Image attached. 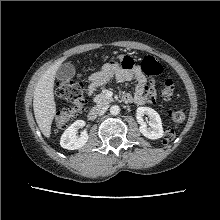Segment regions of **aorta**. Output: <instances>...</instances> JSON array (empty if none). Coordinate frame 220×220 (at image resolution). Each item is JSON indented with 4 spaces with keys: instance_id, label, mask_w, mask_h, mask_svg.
<instances>
[{
    "instance_id": "1",
    "label": "aorta",
    "mask_w": 220,
    "mask_h": 220,
    "mask_svg": "<svg viewBox=\"0 0 220 220\" xmlns=\"http://www.w3.org/2000/svg\"><path fill=\"white\" fill-rule=\"evenodd\" d=\"M110 113L112 115H118L120 113V107L118 105H113L110 107Z\"/></svg>"
}]
</instances>
